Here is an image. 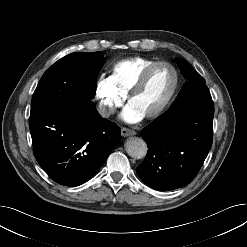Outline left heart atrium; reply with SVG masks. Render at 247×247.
I'll use <instances>...</instances> for the list:
<instances>
[{
    "label": "left heart atrium",
    "mask_w": 247,
    "mask_h": 247,
    "mask_svg": "<svg viewBox=\"0 0 247 247\" xmlns=\"http://www.w3.org/2000/svg\"><path fill=\"white\" fill-rule=\"evenodd\" d=\"M122 118L128 123H137L140 122L144 116L137 111L133 106L129 105L122 113Z\"/></svg>",
    "instance_id": "obj_1"
}]
</instances>
